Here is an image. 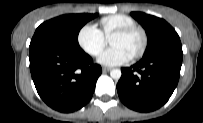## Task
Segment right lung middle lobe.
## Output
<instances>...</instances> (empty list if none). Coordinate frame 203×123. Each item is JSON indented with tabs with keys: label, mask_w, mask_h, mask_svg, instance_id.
Masks as SVG:
<instances>
[{
	"label": "right lung middle lobe",
	"mask_w": 203,
	"mask_h": 123,
	"mask_svg": "<svg viewBox=\"0 0 203 123\" xmlns=\"http://www.w3.org/2000/svg\"><path fill=\"white\" fill-rule=\"evenodd\" d=\"M97 14H68L42 23L35 31L31 43H44L71 50L81 49L78 44L80 29Z\"/></svg>",
	"instance_id": "1"
}]
</instances>
